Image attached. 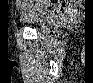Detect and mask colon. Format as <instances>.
<instances>
[{
	"mask_svg": "<svg viewBox=\"0 0 93 83\" xmlns=\"http://www.w3.org/2000/svg\"><path fill=\"white\" fill-rule=\"evenodd\" d=\"M29 1H21L22 4H26L28 3ZM34 3H38V1H34ZM50 3H53L56 5V8L54 10H50L52 12H56V13H62L64 12L67 8L66 6L67 5H71L73 2L72 1H50ZM46 11L45 9H39V8H35V9H32V10H25V13H40V12H44Z\"/></svg>",
	"mask_w": 93,
	"mask_h": 83,
	"instance_id": "obj_1",
	"label": "colon"
}]
</instances>
